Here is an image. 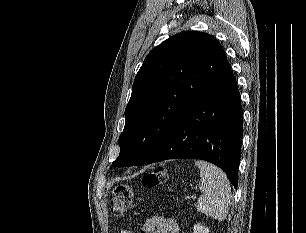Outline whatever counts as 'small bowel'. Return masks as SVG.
Returning <instances> with one entry per match:
<instances>
[{
	"mask_svg": "<svg viewBox=\"0 0 306 233\" xmlns=\"http://www.w3.org/2000/svg\"><path fill=\"white\" fill-rule=\"evenodd\" d=\"M142 233H180L178 222L172 218L154 216L144 221ZM120 233H133L128 228H123Z\"/></svg>",
	"mask_w": 306,
	"mask_h": 233,
	"instance_id": "1",
	"label": "small bowel"
}]
</instances>
